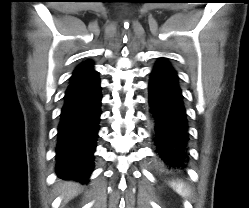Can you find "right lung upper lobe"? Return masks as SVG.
<instances>
[{"mask_svg": "<svg viewBox=\"0 0 249 208\" xmlns=\"http://www.w3.org/2000/svg\"><path fill=\"white\" fill-rule=\"evenodd\" d=\"M93 64L90 61L81 63L75 70L71 77V81L94 73Z\"/></svg>", "mask_w": 249, "mask_h": 208, "instance_id": "1", "label": "right lung upper lobe"}]
</instances>
